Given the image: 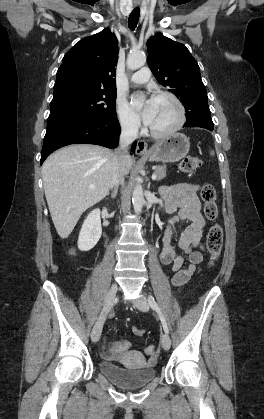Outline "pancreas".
I'll use <instances>...</instances> for the list:
<instances>
[{"mask_svg":"<svg viewBox=\"0 0 264 419\" xmlns=\"http://www.w3.org/2000/svg\"><path fill=\"white\" fill-rule=\"evenodd\" d=\"M155 174L157 175V180H162L166 176V166H158L155 169Z\"/></svg>","mask_w":264,"mask_h":419,"instance_id":"cf45deb5","label":"pancreas"}]
</instances>
